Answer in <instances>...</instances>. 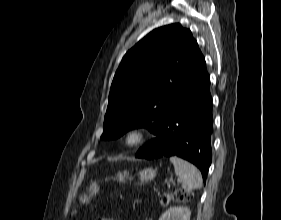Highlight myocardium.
I'll list each match as a JSON object with an SVG mask.
<instances>
[{"mask_svg":"<svg viewBox=\"0 0 281 220\" xmlns=\"http://www.w3.org/2000/svg\"><path fill=\"white\" fill-rule=\"evenodd\" d=\"M147 138V131L143 127L133 126L122 133L120 143L125 149H135L143 145Z\"/></svg>","mask_w":281,"mask_h":220,"instance_id":"myocardium-1","label":"myocardium"}]
</instances>
